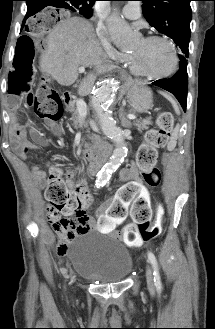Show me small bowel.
<instances>
[{
  "instance_id": "small-bowel-1",
  "label": "small bowel",
  "mask_w": 215,
  "mask_h": 329,
  "mask_svg": "<svg viewBox=\"0 0 215 329\" xmlns=\"http://www.w3.org/2000/svg\"><path fill=\"white\" fill-rule=\"evenodd\" d=\"M55 134H58L59 128L55 123L48 122ZM11 135L13 137L14 149L21 158H26L28 154L37 148L39 144H47L49 139L43 136L39 131L33 130L34 140L27 139V129L17 122H11ZM32 172L38 179H43L45 173L43 170L33 167ZM77 172L69 171L66 174V180L69 185H75L74 179ZM119 178L124 182L123 187H118V192L104 202L97 210L96 215L99 220L98 231L102 236L107 232H115V227H124V220L127 218H152V206L147 199H150L151 187H145L139 179L138 171L134 166L122 169ZM136 186V187H135ZM115 202V203H113ZM130 210V211H129ZM47 216L51 224L57 223L61 218L60 214L54 213L50 206L47 209ZM96 229V221L91 215L85 214L76 221L75 226L70 229L57 242L55 251L59 256L68 253L69 244L81 233ZM123 241L132 247H140L144 241L141 239L127 240L124 234H121Z\"/></svg>"
}]
</instances>
